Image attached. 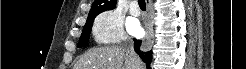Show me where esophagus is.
Listing matches in <instances>:
<instances>
[{
    "mask_svg": "<svg viewBox=\"0 0 246 69\" xmlns=\"http://www.w3.org/2000/svg\"><path fill=\"white\" fill-rule=\"evenodd\" d=\"M153 44V32L150 27L146 28V33L142 41L141 49L148 51Z\"/></svg>",
    "mask_w": 246,
    "mask_h": 69,
    "instance_id": "obj_1",
    "label": "esophagus"
}]
</instances>
